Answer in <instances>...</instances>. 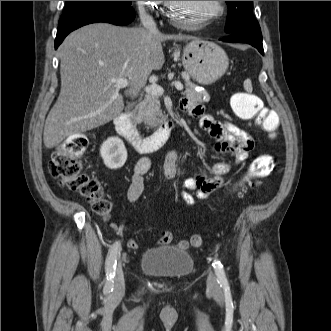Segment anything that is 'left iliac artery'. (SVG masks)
Segmentation results:
<instances>
[{"instance_id": "left-iliac-artery-1", "label": "left iliac artery", "mask_w": 331, "mask_h": 331, "mask_svg": "<svg viewBox=\"0 0 331 331\" xmlns=\"http://www.w3.org/2000/svg\"><path fill=\"white\" fill-rule=\"evenodd\" d=\"M213 267L215 269V273L218 279V283L220 284L221 287L227 289L228 288V281L225 276V272L223 269V265L221 264L220 261L215 260L213 263Z\"/></svg>"}]
</instances>
